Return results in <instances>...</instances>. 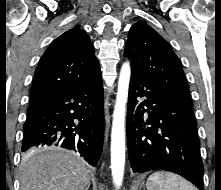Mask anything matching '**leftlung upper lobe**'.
Masks as SVG:
<instances>
[{"label":"left lung upper lobe","instance_id":"5c2ea615","mask_svg":"<svg viewBox=\"0 0 221 190\" xmlns=\"http://www.w3.org/2000/svg\"><path fill=\"white\" fill-rule=\"evenodd\" d=\"M124 56L131 71L160 85L182 103L193 106L178 57L169 43L144 22L135 23L125 45Z\"/></svg>","mask_w":221,"mask_h":190}]
</instances>
